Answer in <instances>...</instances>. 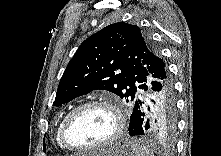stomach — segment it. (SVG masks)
Masks as SVG:
<instances>
[{
    "mask_svg": "<svg viewBox=\"0 0 221 156\" xmlns=\"http://www.w3.org/2000/svg\"><path fill=\"white\" fill-rule=\"evenodd\" d=\"M89 156H134L130 142L116 141L101 149L96 150Z\"/></svg>",
    "mask_w": 221,
    "mask_h": 156,
    "instance_id": "0dacf381",
    "label": "stomach"
}]
</instances>
